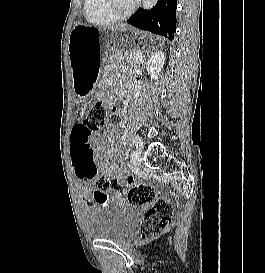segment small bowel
I'll return each instance as SVG.
<instances>
[{"label": "small bowel", "mask_w": 265, "mask_h": 273, "mask_svg": "<svg viewBox=\"0 0 265 273\" xmlns=\"http://www.w3.org/2000/svg\"><path fill=\"white\" fill-rule=\"evenodd\" d=\"M116 112V111H114ZM79 113H82L79 111ZM118 113V112H116ZM89 130L86 125L80 121L75 123L70 135V161L76 178L79 180L81 188V201L85 208L92 204H111L108 190H91V184L97 179L99 174H111L113 166L109 163L98 164L91 151L89 142ZM112 151L106 150L105 157H111ZM131 177H129V180Z\"/></svg>", "instance_id": "1"}]
</instances>
